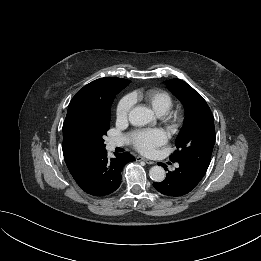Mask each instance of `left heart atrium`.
<instances>
[{
    "label": "left heart atrium",
    "mask_w": 261,
    "mask_h": 261,
    "mask_svg": "<svg viewBox=\"0 0 261 261\" xmlns=\"http://www.w3.org/2000/svg\"><path fill=\"white\" fill-rule=\"evenodd\" d=\"M130 137L133 146L143 154H152L167 140L166 134L159 129L137 130L131 133Z\"/></svg>",
    "instance_id": "left-heart-atrium-1"
}]
</instances>
